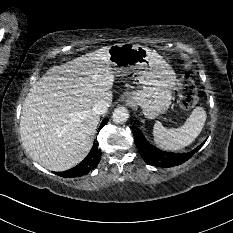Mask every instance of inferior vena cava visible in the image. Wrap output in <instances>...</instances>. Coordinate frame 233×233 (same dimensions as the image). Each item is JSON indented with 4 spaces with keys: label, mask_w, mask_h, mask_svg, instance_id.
<instances>
[{
    "label": "inferior vena cava",
    "mask_w": 233,
    "mask_h": 233,
    "mask_svg": "<svg viewBox=\"0 0 233 233\" xmlns=\"http://www.w3.org/2000/svg\"><path fill=\"white\" fill-rule=\"evenodd\" d=\"M108 107L109 104L107 102L100 101L93 106L92 111L96 114L101 115L107 112Z\"/></svg>",
    "instance_id": "inferior-vena-cava-1"
}]
</instances>
